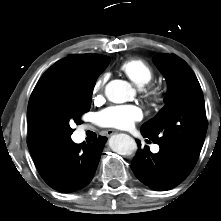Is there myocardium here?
Segmentation results:
<instances>
[{"mask_svg": "<svg viewBox=\"0 0 221 221\" xmlns=\"http://www.w3.org/2000/svg\"><path fill=\"white\" fill-rule=\"evenodd\" d=\"M145 93L154 105H158L163 99L162 93L158 88L148 87Z\"/></svg>", "mask_w": 221, "mask_h": 221, "instance_id": "f54148a6", "label": "myocardium"}]
</instances>
